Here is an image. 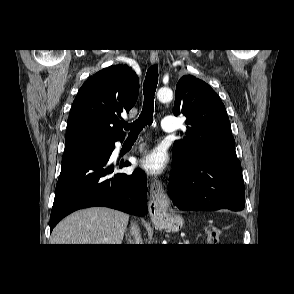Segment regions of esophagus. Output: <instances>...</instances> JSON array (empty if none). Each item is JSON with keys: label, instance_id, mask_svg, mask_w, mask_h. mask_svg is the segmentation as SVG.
<instances>
[{"label": "esophagus", "instance_id": "34e87169", "mask_svg": "<svg viewBox=\"0 0 294 294\" xmlns=\"http://www.w3.org/2000/svg\"><path fill=\"white\" fill-rule=\"evenodd\" d=\"M150 62L155 65L159 63V56L157 51L150 53ZM170 201L164 191L162 183L156 177L151 179L150 183V201H149V215L153 222L162 219L167 212Z\"/></svg>", "mask_w": 294, "mask_h": 294}]
</instances>
